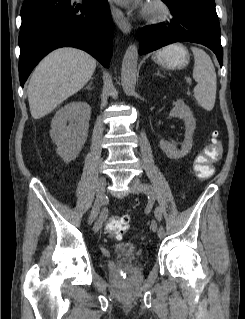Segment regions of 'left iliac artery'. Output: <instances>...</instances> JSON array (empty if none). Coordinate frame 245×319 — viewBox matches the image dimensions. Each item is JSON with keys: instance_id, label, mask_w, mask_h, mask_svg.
<instances>
[{"instance_id": "1", "label": "left iliac artery", "mask_w": 245, "mask_h": 319, "mask_svg": "<svg viewBox=\"0 0 245 319\" xmlns=\"http://www.w3.org/2000/svg\"><path fill=\"white\" fill-rule=\"evenodd\" d=\"M143 187H144V190L146 191V193L148 194V198L151 199V200H153V199H154V195H153V193H152V188H151V186H150L149 184H144ZM154 213H155V217H156L158 220H161L162 213H161V210H160L159 207H156ZM159 231H160V233H161L163 236H165V230H164V228H163L162 226L159 227Z\"/></svg>"}]
</instances>
